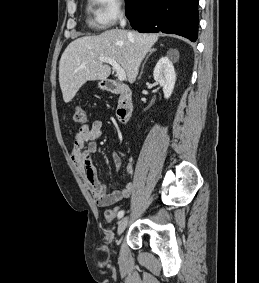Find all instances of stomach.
I'll return each mask as SVG.
<instances>
[{
	"mask_svg": "<svg viewBox=\"0 0 259 283\" xmlns=\"http://www.w3.org/2000/svg\"><path fill=\"white\" fill-rule=\"evenodd\" d=\"M98 87H99L100 89H105V88H106V83H105L104 81H100V82L98 83Z\"/></svg>",
	"mask_w": 259,
	"mask_h": 283,
	"instance_id": "obj_1",
	"label": "stomach"
}]
</instances>
